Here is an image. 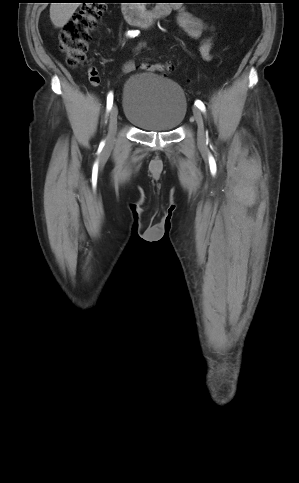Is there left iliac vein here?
Returning <instances> with one entry per match:
<instances>
[{"label":"left iliac vein","mask_w":299,"mask_h":483,"mask_svg":"<svg viewBox=\"0 0 299 483\" xmlns=\"http://www.w3.org/2000/svg\"><path fill=\"white\" fill-rule=\"evenodd\" d=\"M193 115L197 124V140L200 144L205 142V127L202 113L198 107H193Z\"/></svg>","instance_id":"4c4485c4"}]
</instances>
